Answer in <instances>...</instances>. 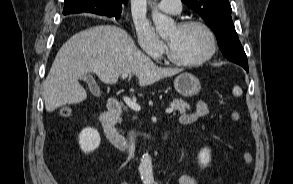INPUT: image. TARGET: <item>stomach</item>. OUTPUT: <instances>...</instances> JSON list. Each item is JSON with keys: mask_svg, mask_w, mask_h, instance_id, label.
Wrapping results in <instances>:
<instances>
[{"mask_svg": "<svg viewBox=\"0 0 293 184\" xmlns=\"http://www.w3.org/2000/svg\"><path fill=\"white\" fill-rule=\"evenodd\" d=\"M175 90L184 97H192L199 93L201 84L199 79L191 73H181L174 80Z\"/></svg>", "mask_w": 293, "mask_h": 184, "instance_id": "obj_1", "label": "stomach"}]
</instances>
